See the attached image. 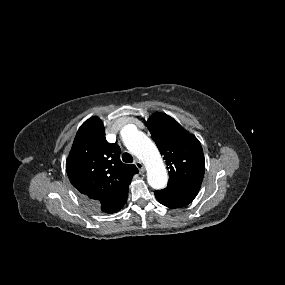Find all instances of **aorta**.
<instances>
[{"instance_id":"762f6f07","label":"aorta","mask_w":285,"mask_h":285,"mask_svg":"<svg viewBox=\"0 0 285 285\" xmlns=\"http://www.w3.org/2000/svg\"><path fill=\"white\" fill-rule=\"evenodd\" d=\"M121 136L127 149L146 165L148 184L153 189H163L168 175L156 145L132 124L123 127Z\"/></svg>"}]
</instances>
